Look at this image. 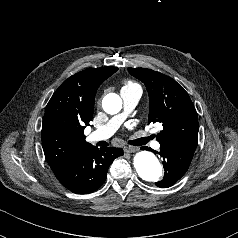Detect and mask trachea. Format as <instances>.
<instances>
[{"label": "trachea", "mask_w": 238, "mask_h": 238, "mask_svg": "<svg viewBox=\"0 0 238 238\" xmlns=\"http://www.w3.org/2000/svg\"><path fill=\"white\" fill-rule=\"evenodd\" d=\"M150 139H151V137L141 138V139L132 141L130 144H132V145H144V144H146Z\"/></svg>", "instance_id": "trachea-1"}]
</instances>
